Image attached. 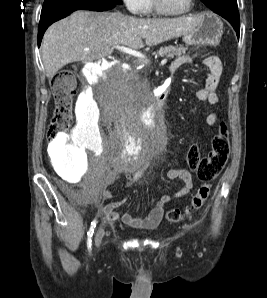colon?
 Returning a JSON list of instances; mask_svg holds the SVG:
<instances>
[{"label": "colon", "mask_w": 267, "mask_h": 298, "mask_svg": "<svg viewBox=\"0 0 267 298\" xmlns=\"http://www.w3.org/2000/svg\"><path fill=\"white\" fill-rule=\"evenodd\" d=\"M76 89V79L69 70H61L52 79V90L55 99V109L48 130V137L52 145L59 143L60 137L72 124L73 96ZM230 152V139L227 128L221 125L214 136L211 150L202 154L195 144L188 148L186 161L188 168L194 172L202 182L194 194L190 205L181 209L167 212L166 218L170 222H180L192 213L202 208L211 192V183L222 172Z\"/></svg>", "instance_id": "obj_1"}]
</instances>
